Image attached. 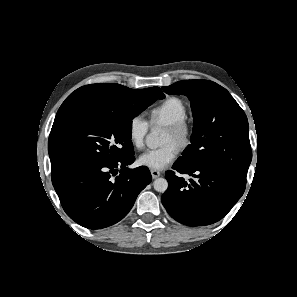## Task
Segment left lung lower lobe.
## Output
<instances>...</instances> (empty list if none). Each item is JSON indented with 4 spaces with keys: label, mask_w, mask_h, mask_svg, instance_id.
<instances>
[{
    "label": "left lung lower lobe",
    "mask_w": 297,
    "mask_h": 297,
    "mask_svg": "<svg viewBox=\"0 0 297 297\" xmlns=\"http://www.w3.org/2000/svg\"><path fill=\"white\" fill-rule=\"evenodd\" d=\"M166 172L168 189L162 203L169 215L188 226H204L222 219L243 195L246 178L214 167H185L174 163ZM196 179L188 182L177 175Z\"/></svg>",
    "instance_id": "1"
}]
</instances>
